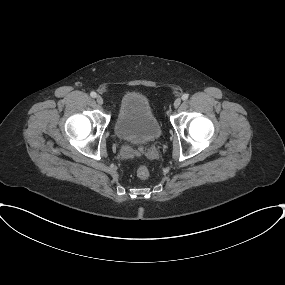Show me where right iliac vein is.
I'll return each mask as SVG.
<instances>
[{
    "label": "right iliac vein",
    "mask_w": 285,
    "mask_h": 285,
    "mask_svg": "<svg viewBox=\"0 0 285 285\" xmlns=\"http://www.w3.org/2000/svg\"><path fill=\"white\" fill-rule=\"evenodd\" d=\"M96 102L99 104V105H102L103 104V98L101 96H97L96 97Z\"/></svg>",
    "instance_id": "63e3f726"
}]
</instances>
